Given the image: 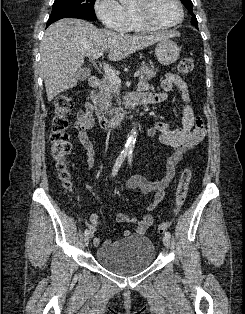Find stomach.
<instances>
[{
  "instance_id": "stomach-1",
  "label": "stomach",
  "mask_w": 245,
  "mask_h": 314,
  "mask_svg": "<svg viewBox=\"0 0 245 314\" xmlns=\"http://www.w3.org/2000/svg\"><path fill=\"white\" fill-rule=\"evenodd\" d=\"M179 53L178 45L169 39L159 41L155 48L157 59L164 66L173 64L178 59Z\"/></svg>"
}]
</instances>
